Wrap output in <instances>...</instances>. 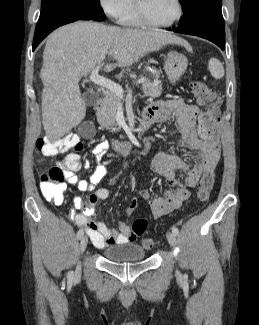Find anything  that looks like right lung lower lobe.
Listing matches in <instances>:
<instances>
[{
	"mask_svg": "<svg viewBox=\"0 0 259 325\" xmlns=\"http://www.w3.org/2000/svg\"><path fill=\"white\" fill-rule=\"evenodd\" d=\"M76 20H85V19H82L72 14H63V15L56 16L50 19L49 21H47L43 26H41L39 29L35 31V36L33 40V51L38 46V44L54 29L62 25L74 22Z\"/></svg>",
	"mask_w": 259,
	"mask_h": 325,
	"instance_id": "1",
	"label": "right lung lower lobe"
}]
</instances>
